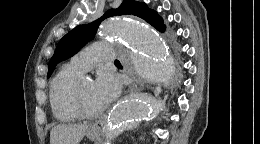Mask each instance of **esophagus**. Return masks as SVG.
Here are the masks:
<instances>
[{
    "instance_id": "34e87169",
    "label": "esophagus",
    "mask_w": 260,
    "mask_h": 144,
    "mask_svg": "<svg viewBox=\"0 0 260 144\" xmlns=\"http://www.w3.org/2000/svg\"><path fill=\"white\" fill-rule=\"evenodd\" d=\"M140 86H141V82L135 78L134 76H132V81L131 83L129 84L127 90L125 91V94L126 95H130L136 91H138L140 89ZM91 130H98L99 129V126L98 125H92L90 127Z\"/></svg>"
}]
</instances>
